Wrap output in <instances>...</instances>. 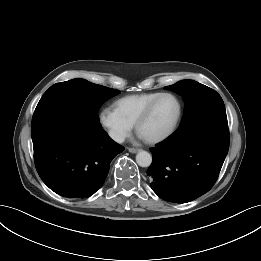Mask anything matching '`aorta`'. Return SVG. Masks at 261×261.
<instances>
[{
  "label": "aorta",
  "instance_id": "762f6f07",
  "mask_svg": "<svg viewBox=\"0 0 261 261\" xmlns=\"http://www.w3.org/2000/svg\"><path fill=\"white\" fill-rule=\"evenodd\" d=\"M136 162L141 167H149L152 163V156L147 151H140L136 155Z\"/></svg>",
  "mask_w": 261,
  "mask_h": 261
}]
</instances>
